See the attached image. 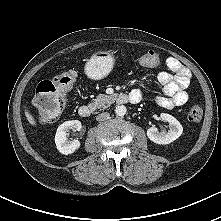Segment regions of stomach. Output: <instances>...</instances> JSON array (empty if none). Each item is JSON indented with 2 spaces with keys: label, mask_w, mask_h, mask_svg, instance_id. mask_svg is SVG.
I'll return each instance as SVG.
<instances>
[{
  "label": "stomach",
  "mask_w": 221,
  "mask_h": 221,
  "mask_svg": "<svg viewBox=\"0 0 221 221\" xmlns=\"http://www.w3.org/2000/svg\"><path fill=\"white\" fill-rule=\"evenodd\" d=\"M114 55L111 51L95 52L85 65V73L94 80L106 77L114 67Z\"/></svg>",
  "instance_id": "0dacf381"
}]
</instances>
